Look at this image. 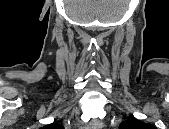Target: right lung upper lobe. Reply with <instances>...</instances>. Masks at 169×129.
Segmentation results:
<instances>
[{
    "label": "right lung upper lobe",
    "instance_id": "1",
    "mask_svg": "<svg viewBox=\"0 0 169 129\" xmlns=\"http://www.w3.org/2000/svg\"><path fill=\"white\" fill-rule=\"evenodd\" d=\"M44 128H46V129H61L62 126L59 124L52 123V124L46 125Z\"/></svg>",
    "mask_w": 169,
    "mask_h": 129
}]
</instances>
